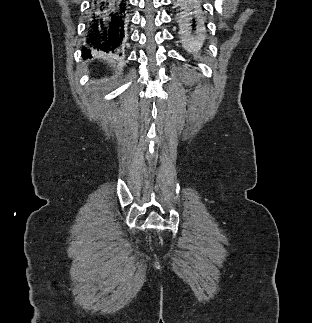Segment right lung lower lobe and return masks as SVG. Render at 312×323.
Segmentation results:
<instances>
[{
	"label": "right lung lower lobe",
	"instance_id": "right-lung-lower-lobe-1",
	"mask_svg": "<svg viewBox=\"0 0 312 323\" xmlns=\"http://www.w3.org/2000/svg\"><path fill=\"white\" fill-rule=\"evenodd\" d=\"M127 0H92L86 23L83 58L92 57L91 51L121 55L128 31Z\"/></svg>",
	"mask_w": 312,
	"mask_h": 323
}]
</instances>
